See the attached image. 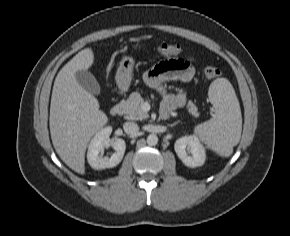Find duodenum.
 Returning <instances> with one entry per match:
<instances>
[{"label": "duodenum", "mask_w": 290, "mask_h": 236, "mask_svg": "<svg viewBox=\"0 0 290 236\" xmlns=\"http://www.w3.org/2000/svg\"><path fill=\"white\" fill-rule=\"evenodd\" d=\"M123 111H124V104L121 101L114 104L110 109V113L113 116L121 115Z\"/></svg>", "instance_id": "duodenum-1"}]
</instances>
